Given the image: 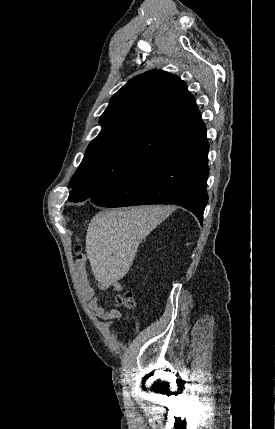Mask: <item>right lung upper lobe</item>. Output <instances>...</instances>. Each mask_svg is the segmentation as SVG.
I'll return each instance as SVG.
<instances>
[{"instance_id":"right-lung-upper-lobe-1","label":"right lung upper lobe","mask_w":275,"mask_h":429,"mask_svg":"<svg viewBox=\"0 0 275 429\" xmlns=\"http://www.w3.org/2000/svg\"><path fill=\"white\" fill-rule=\"evenodd\" d=\"M100 123L102 130L87 147L86 156L115 147L151 156L206 129L186 84L163 70L129 80L111 98Z\"/></svg>"}]
</instances>
